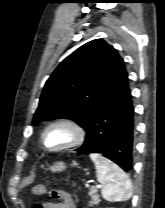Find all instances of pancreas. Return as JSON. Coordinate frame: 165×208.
I'll return each mask as SVG.
<instances>
[{
    "label": "pancreas",
    "instance_id": "cf45deb5",
    "mask_svg": "<svg viewBox=\"0 0 165 208\" xmlns=\"http://www.w3.org/2000/svg\"><path fill=\"white\" fill-rule=\"evenodd\" d=\"M89 195L91 196V201L89 202L90 205H95L100 202L99 195L97 194V190L95 188H91L89 191Z\"/></svg>",
    "mask_w": 165,
    "mask_h": 208
}]
</instances>
